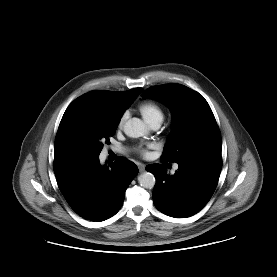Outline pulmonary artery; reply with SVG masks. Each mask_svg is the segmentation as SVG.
<instances>
[{
    "label": "pulmonary artery",
    "instance_id": "pulmonary-artery-1",
    "mask_svg": "<svg viewBox=\"0 0 277 277\" xmlns=\"http://www.w3.org/2000/svg\"><path fill=\"white\" fill-rule=\"evenodd\" d=\"M160 124H161V123H153V124H151L150 126H151L152 129H158L159 126H160ZM112 150H113L114 152H121V150L118 149V148H112ZM175 168H176V167H175Z\"/></svg>",
    "mask_w": 277,
    "mask_h": 277
}]
</instances>
